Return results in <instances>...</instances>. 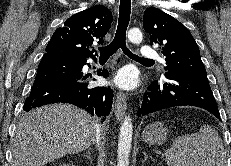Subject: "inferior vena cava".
Listing matches in <instances>:
<instances>
[{
    "mask_svg": "<svg viewBox=\"0 0 231 166\" xmlns=\"http://www.w3.org/2000/svg\"><path fill=\"white\" fill-rule=\"evenodd\" d=\"M101 140V131L98 125V129H97V135H96V143L99 144Z\"/></svg>",
    "mask_w": 231,
    "mask_h": 166,
    "instance_id": "inferior-vena-cava-1",
    "label": "inferior vena cava"
}]
</instances>
